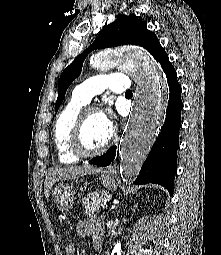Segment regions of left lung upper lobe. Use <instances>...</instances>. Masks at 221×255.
<instances>
[{
  "label": "left lung upper lobe",
  "mask_w": 221,
  "mask_h": 255,
  "mask_svg": "<svg viewBox=\"0 0 221 255\" xmlns=\"http://www.w3.org/2000/svg\"><path fill=\"white\" fill-rule=\"evenodd\" d=\"M127 44L139 45L153 57L162 48L156 35L147 29V23L142 21V17L135 14L118 16L116 21L105 26L93 44L63 71L58 82V98L55 110L57 111L60 107L69 85L80 75L83 62L92 50Z\"/></svg>",
  "instance_id": "obj_1"
}]
</instances>
